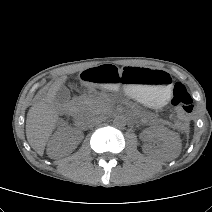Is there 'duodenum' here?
Segmentation results:
<instances>
[{
  "mask_svg": "<svg viewBox=\"0 0 212 212\" xmlns=\"http://www.w3.org/2000/svg\"><path fill=\"white\" fill-rule=\"evenodd\" d=\"M65 112L70 115L73 116L75 114V107L72 104H67L65 106Z\"/></svg>",
  "mask_w": 212,
  "mask_h": 212,
  "instance_id": "obj_1",
  "label": "duodenum"
}]
</instances>
